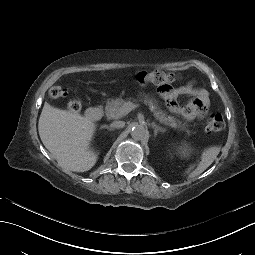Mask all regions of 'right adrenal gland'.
<instances>
[{"mask_svg":"<svg viewBox=\"0 0 255 255\" xmlns=\"http://www.w3.org/2000/svg\"><path fill=\"white\" fill-rule=\"evenodd\" d=\"M101 128H105L109 131H114V128H112L111 126H108V125H102Z\"/></svg>","mask_w":255,"mask_h":255,"instance_id":"2a0ac1e0","label":"right adrenal gland"}]
</instances>
